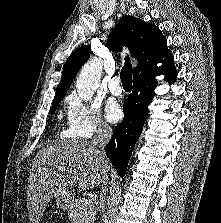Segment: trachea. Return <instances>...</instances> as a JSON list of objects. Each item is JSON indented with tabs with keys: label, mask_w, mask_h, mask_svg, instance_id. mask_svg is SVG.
Wrapping results in <instances>:
<instances>
[{
	"label": "trachea",
	"mask_w": 221,
	"mask_h": 223,
	"mask_svg": "<svg viewBox=\"0 0 221 223\" xmlns=\"http://www.w3.org/2000/svg\"><path fill=\"white\" fill-rule=\"evenodd\" d=\"M132 65L129 56L125 57V63L120 73V79L124 88L132 87Z\"/></svg>",
	"instance_id": "trachea-1"
}]
</instances>
